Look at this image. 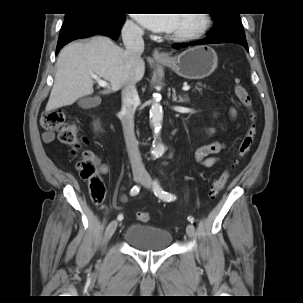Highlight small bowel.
Returning <instances> with one entry per match:
<instances>
[{
	"label": "small bowel",
	"mask_w": 303,
	"mask_h": 303,
	"mask_svg": "<svg viewBox=\"0 0 303 303\" xmlns=\"http://www.w3.org/2000/svg\"><path fill=\"white\" fill-rule=\"evenodd\" d=\"M231 117L236 118V111L231 110ZM55 134L53 131H45L43 133V140L45 144H50L54 140ZM225 149V144L221 141H213L209 144L203 145L196 149L195 159L197 162L205 167H211L219 162V158L216 157L218 153ZM100 170L102 173H107L109 171L108 165L105 163L100 164ZM126 200V197H124Z\"/></svg>",
	"instance_id": "1"
}]
</instances>
